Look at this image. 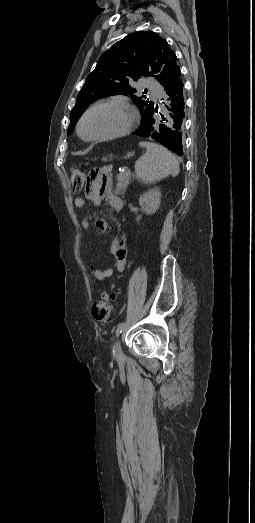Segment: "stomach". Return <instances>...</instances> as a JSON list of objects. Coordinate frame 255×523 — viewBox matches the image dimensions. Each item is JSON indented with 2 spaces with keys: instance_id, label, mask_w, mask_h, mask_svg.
Wrapping results in <instances>:
<instances>
[{
  "instance_id": "1",
  "label": "stomach",
  "mask_w": 255,
  "mask_h": 523,
  "mask_svg": "<svg viewBox=\"0 0 255 523\" xmlns=\"http://www.w3.org/2000/svg\"><path fill=\"white\" fill-rule=\"evenodd\" d=\"M102 158H103L104 160H107V159L109 158V155H108L107 153H104V154L102 155Z\"/></svg>"
}]
</instances>
